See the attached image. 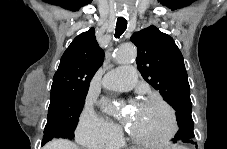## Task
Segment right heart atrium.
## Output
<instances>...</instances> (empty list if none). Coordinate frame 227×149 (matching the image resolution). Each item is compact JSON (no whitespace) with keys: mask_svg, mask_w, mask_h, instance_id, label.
Listing matches in <instances>:
<instances>
[{"mask_svg":"<svg viewBox=\"0 0 227 149\" xmlns=\"http://www.w3.org/2000/svg\"><path fill=\"white\" fill-rule=\"evenodd\" d=\"M120 129L98 116L90 107H85L77 126V139L87 147L107 148L117 143Z\"/></svg>","mask_w":227,"mask_h":149,"instance_id":"1","label":"right heart atrium"}]
</instances>
